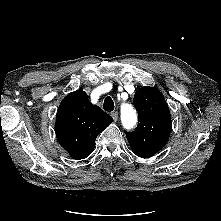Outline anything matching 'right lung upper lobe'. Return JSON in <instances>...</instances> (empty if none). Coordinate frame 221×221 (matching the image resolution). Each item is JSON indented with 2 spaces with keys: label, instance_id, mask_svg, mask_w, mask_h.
Here are the masks:
<instances>
[{
  "label": "right lung upper lobe",
  "instance_id": "obj_1",
  "mask_svg": "<svg viewBox=\"0 0 221 221\" xmlns=\"http://www.w3.org/2000/svg\"><path fill=\"white\" fill-rule=\"evenodd\" d=\"M113 121L100 107L92 105L83 90L68 94L56 115V136L60 145L79 160L94 150L96 137Z\"/></svg>",
  "mask_w": 221,
  "mask_h": 221
}]
</instances>
